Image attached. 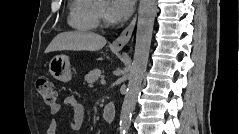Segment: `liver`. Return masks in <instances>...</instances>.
Masks as SVG:
<instances>
[{"mask_svg":"<svg viewBox=\"0 0 239 134\" xmlns=\"http://www.w3.org/2000/svg\"><path fill=\"white\" fill-rule=\"evenodd\" d=\"M106 39L103 36L92 32H63L58 34L49 46L45 53L62 50L72 51H97L103 48L106 44Z\"/></svg>","mask_w":239,"mask_h":134,"instance_id":"1","label":"liver"}]
</instances>
